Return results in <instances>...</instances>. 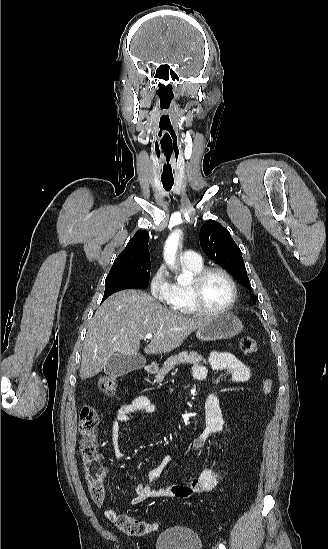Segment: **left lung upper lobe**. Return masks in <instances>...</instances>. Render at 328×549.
<instances>
[{
  "label": "left lung upper lobe",
  "mask_w": 328,
  "mask_h": 549,
  "mask_svg": "<svg viewBox=\"0 0 328 549\" xmlns=\"http://www.w3.org/2000/svg\"><path fill=\"white\" fill-rule=\"evenodd\" d=\"M200 244L206 255L251 289L241 250L226 228L214 220H208L202 226Z\"/></svg>",
  "instance_id": "5c2ea615"
}]
</instances>
